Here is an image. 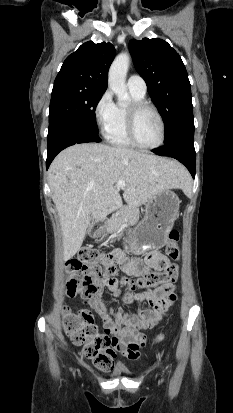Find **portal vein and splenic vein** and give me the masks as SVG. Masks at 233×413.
<instances>
[{"label":"portal vein and splenic vein","instance_id":"18ae733b","mask_svg":"<svg viewBox=\"0 0 233 413\" xmlns=\"http://www.w3.org/2000/svg\"><path fill=\"white\" fill-rule=\"evenodd\" d=\"M116 185H117V188L123 189V188L125 187V181H123V180H118L117 183H116Z\"/></svg>","mask_w":233,"mask_h":413}]
</instances>
